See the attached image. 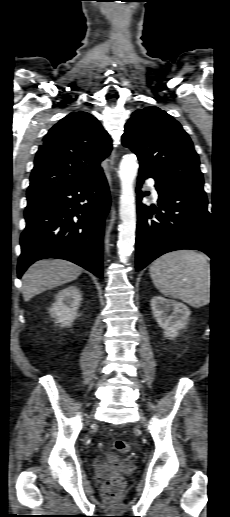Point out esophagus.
I'll list each match as a JSON object with an SVG mask.
<instances>
[{
    "mask_svg": "<svg viewBox=\"0 0 230 517\" xmlns=\"http://www.w3.org/2000/svg\"><path fill=\"white\" fill-rule=\"evenodd\" d=\"M116 158H117V150H116V148H114L111 153V157H110V170L111 171L115 170L114 165H115Z\"/></svg>",
    "mask_w": 230,
    "mask_h": 517,
    "instance_id": "1",
    "label": "esophagus"
}]
</instances>
